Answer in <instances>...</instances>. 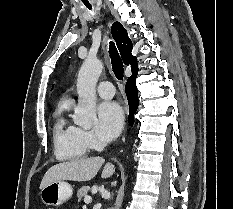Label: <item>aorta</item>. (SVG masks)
Masks as SVG:
<instances>
[{"mask_svg": "<svg viewBox=\"0 0 233 209\" xmlns=\"http://www.w3.org/2000/svg\"><path fill=\"white\" fill-rule=\"evenodd\" d=\"M103 70V64L97 59H86L78 73V105L75 108L74 124L90 129L96 120V84Z\"/></svg>", "mask_w": 233, "mask_h": 209, "instance_id": "762f6f07", "label": "aorta"}]
</instances>
